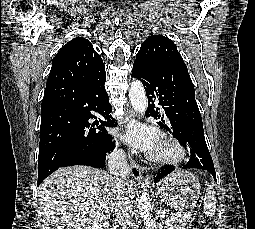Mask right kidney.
<instances>
[{"instance_id":"right-kidney-1","label":"right kidney","mask_w":255,"mask_h":229,"mask_svg":"<svg viewBox=\"0 0 255 229\" xmlns=\"http://www.w3.org/2000/svg\"><path fill=\"white\" fill-rule=\"evenodd\" d=\"M108 226H109V223L104 222L103 225L95 224L94 226L90 227L89 229H103L102 227H104L106 229Z\"/></svg>"}]
</instances>
